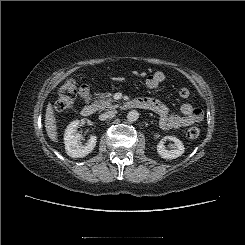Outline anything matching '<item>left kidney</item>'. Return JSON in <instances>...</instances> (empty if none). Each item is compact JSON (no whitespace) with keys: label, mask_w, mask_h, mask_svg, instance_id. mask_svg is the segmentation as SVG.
<instances>
[{"label":"left kidney","mask_w":245,"mask_h":245,"mask_svg":"<svg viewBox=\"0 0 245 245\" xmlns=\"http://www.w3.org/2000/svg\"><path fill=\"white\" fill-rule=\"evenodd\" d=\"M167 139L171 140L173 144L169 146L170 149L168 150L163 145L164 142L160 141L157 145V153L159 154V156L169 160L176 159L181 156L185 150L183 143L174 136H166L163 140Z\"/></svg>","instance_id":"left-kidney-1"}]
</instances>
